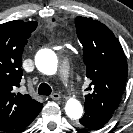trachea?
I'll use <instances>...</instances> for the list:
<instances>
[{"mask_svg": "<svg viewBox=\"0 0 133 133\" xmlns=\"http://www.w3.org/2000/svg\"><path fill=\"white\" fill-rule=\"evenodd\" d=\"M51 92H52V89H51V87L48 84H46V83L40 84V86L38 88L39 95L48 96V95L51 94Z\"/></svg>", "mask_w": 133, "mask_h": 133, "instance_id": "trachea-1", "label": "trachea"}]
</instances>
